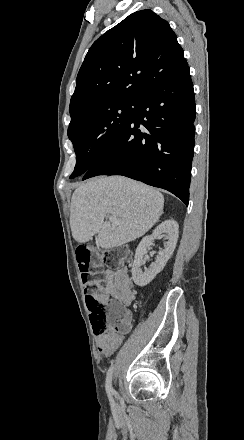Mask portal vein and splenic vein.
Instances as JSON below:
<instances>
[{
	"instance_id": "18ae733b",
	"label": "portal vein and splenic vein",
	"mask_w": 244,
	"mask_h": 440,
	"mask_svg": "<svg viewBox=\"0 0 244 440\" xmlns=\"http://www.w3.org/2000/svg\"><path fill=\"white\" fill-rule=\"evenodd\" d=\"M110 222H112V226H119L121 224L120 220H118L117 216H109Z\"/></svg>"
}]
</instances>
